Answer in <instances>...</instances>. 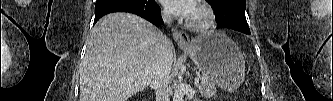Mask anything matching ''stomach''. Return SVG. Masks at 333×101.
<instances>
[{
    "label": "stomach",
    "instance_id": "1",
    "mask_svg": "<svg viewBox=\"0 0 333 101\" xmlns=\"http://www.w3.org/2000/svg\"><path fill=\"white\" fill-rule=\"evenodd\" d=\"M202 75L232 92L245 78V61L237 45L226 35L209 31L183 47Z\"/></svg>",
    "mask_w": 333,
    "mask_h": 101
}]
</instances>
